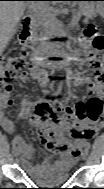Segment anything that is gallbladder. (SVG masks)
Wrapping results in <instances>:
<instances>
[{
  "instance_id": "1",
  "label": "gallbladder",
  "mask_w": 104,
  "mask_h": 189,
  "mask_svg": "<svg viewBox=\"0 0 104 189\" xmlns=\"http://www.w3.org/2000/svg\"><path fill=\"white\" fill-rule=\"evenodd\" d=\"M30 7H31V5H30V4H27V5H26V8H30Z\"/></svg>"
}]
</instances>
